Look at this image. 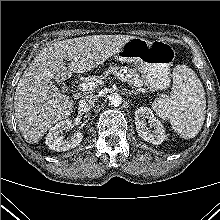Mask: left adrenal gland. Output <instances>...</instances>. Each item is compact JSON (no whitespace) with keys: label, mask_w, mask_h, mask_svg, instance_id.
<instances>
[{"label":"left adrenal gland","mask_w":220,"mask_h":220,"mask_svg":"<svg viewBox=\"0 0 220 220\" xmlns=\"http://www.w3.org/2000/svg\"><path fill=\"white\" fill-rule=\"evenodd\" d=\"M128 93L131 95V94H137V92L136 91H134V90H132V91H130V90H128Z\"/></svg>","instance_id":"left-adrenal-gland-1"}]
</instances>
